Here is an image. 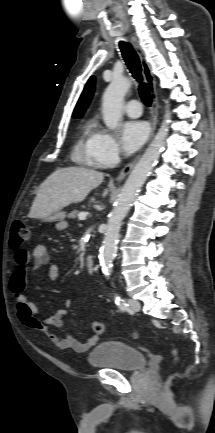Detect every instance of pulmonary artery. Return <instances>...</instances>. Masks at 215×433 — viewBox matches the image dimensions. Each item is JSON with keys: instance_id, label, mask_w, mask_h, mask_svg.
<instances>
[{"instance_id": "1", "label": "pulmonary artery", "mask_w": 215, "mask_h": 433, "mask_svg": "<svg viewBox=\"0 0 215 433\" xmlns=\"http://www.w3.org/2000/svg\"><path fill=\"white\" fill-rule=\"evenodd\" d=\"M141 110V103L136 99L128 101L125 105V112L133 118L139 117L141 115Z\"/></svg>"}]
</instances>
